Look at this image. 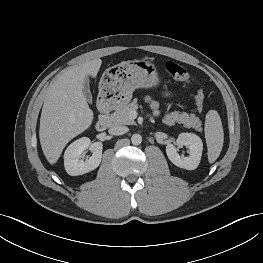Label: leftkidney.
I'll return each instance as SVG.
<instances>
[{
  "label": "left kidney",
  "instance_id": "left-kidney-1",
  "mask_svg": "<svg viewBox=\"0 0 263 263\" xmlns=\"http://www.w3.org/2000/svg\"><path fill=\"white\" fill-rule=\"evenodd\" d=\"M178 146H185L189 151V156H180L177 152ZM203 151V143L199 136L193 133L179 134L175 144L169 143L166 146V154L169 160L177 167L194 170L198 167Z\"/></svg>",
  "mask_w": 263,
  "mask_h": 263
}]
</instances>
